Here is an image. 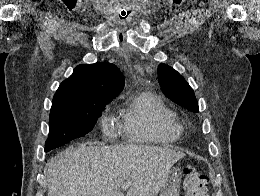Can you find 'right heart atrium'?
Wrapping results in <instances>:
<instances>
[{
  "label": "right heart atrium",
  "mask_w": 260,
  "mask_h": 196,
  "mask_svg": "<svg viewBox=\"0 0 260 196\" xmlns=\"http://www.w3.org/2000/svg\"><path fill=\"white\" fill-rule=\"evenodd\" d=\"M101 128L102 131L106 134L109 133L110 130L114 129L113 121L106 115L101 118ZM150 190H127V192H149Z\"/></svg>",
  "instance_id": "d8ad5b80"
}]
</instances>
